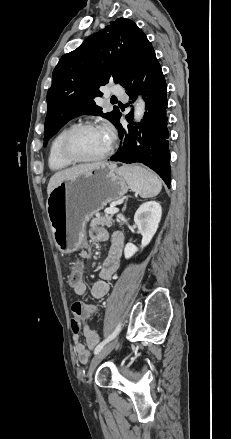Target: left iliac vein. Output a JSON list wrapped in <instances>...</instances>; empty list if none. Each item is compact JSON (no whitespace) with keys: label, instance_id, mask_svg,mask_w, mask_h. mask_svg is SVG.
Masks as SVG:
<instances>
[{"label":"left iliac vein","instance_id":"obj_1","mask_svg":"<svg viewBox=\"0 0 231 439\" xmlns=\"http://www.w3.org/2000/svg\"><path fill=\"white\" fill-rule=\"evenodd\" d=\"M118 341V337L114 339L111 343L106 345L99 353H97L93 359L91 360L89 371H88V383H91V377L93 372L95 371L96 367L99 365V363L112 351L114 346L116 345Z\"/></svg>","mask_w":231,"mask_h":439}]
</instances>
